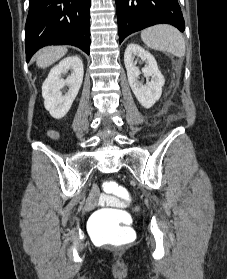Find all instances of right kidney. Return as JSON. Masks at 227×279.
Wrapping results in <instances>:
<instances>
[{"label": "right kidney", "mask_w": 227, "mask_h": 279, "mask_svg": "<svg viewBox=\"0 0 227 279\" xmlns=\"http://www.w3.org/2000/svg\"><path fill=\"white\" fill-rule=\"evenodd\" d=\"M71 71L63 79L62 76ZM83 62L78 56H69L53 67L42 85L44 106L56 119L63 118L70 110L83 81ZM68 87L63 94L62 89Z\"/></svg>", "instance_id": "1"}]
</instances>
